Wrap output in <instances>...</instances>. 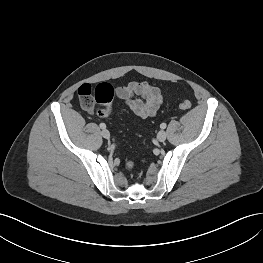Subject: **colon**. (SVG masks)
<instances>
[{
    "label": "colon",
    "mask_w": 263,
    "mask_h": 263,
    "mask_svg": "<svg viewBox=\"0 0 263 263\" xmlns=\"http://www.w3.org/2000/svg\"><path fill=\"white\" fill-rule=\"evenodd\" d=\"M114 96V89L110 84L102 83L95 88L90 84H82L77 90V97L80 105L85 109H92L95 103L108 104L111 102ZM181 109H189L191 102L189 100H183L179 104ZM98 114L102 117L108 115V111L105 109L99 110ZM143 164L142 160H128L126 162V168L130 171L137 169Z\"/></svg>",
    "instance_id": "colon-1"
}]
</instances>
